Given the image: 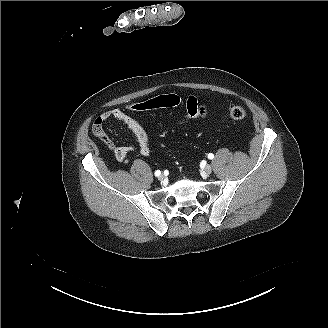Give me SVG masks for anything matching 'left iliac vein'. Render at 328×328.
<instances>
[{"mask_svg": "<svg viewBox=\"0 0 328 328\" xmlns=\"http://www.w3.org/2000/svg\"><path fill=\"white\" fill-rule=\"evenodd\" d=\"M204 171L206 174H211L212 172V167L210 165H206L204 168Z\"/></svg>", "mask_w": 328, "mask_h": 328, "instance_id": "obj_1", "label": "left iliac vein"}]
</instances>
